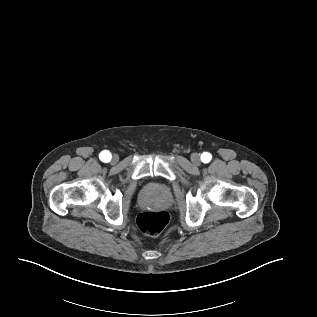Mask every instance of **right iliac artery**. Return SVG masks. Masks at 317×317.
<instances>
[{
	"mask_svg": "<svg viewBox=\"0 0 317 317\" xmlns=\"http://www.w3.org/2000/svg\"><path fill=\"white\" fill-rule=\"evenodd\" d=\"M100 159L103 161V162H109L112 158L111 154L109 151H102L99 155Z\"/></svg>",
	"mask_w": 317,
	"mask_h": 317,
	"instance_id": "1",
	"label": "right iliac artery"
}]
</instances>
